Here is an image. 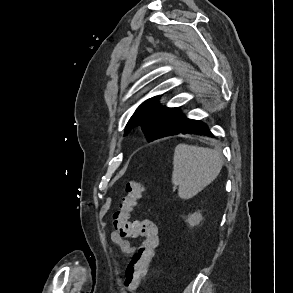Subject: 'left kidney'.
I'll list each match as a JSON object with an SVG mask.
<instances>
[{"label": "left kidney", "instance_id": "left-kidney-1", "mask_svg": "<svg viewBox=\"0 0 293 293\" xmlns=\"http://www.w3.org/2000/svg\"><path fill=\"white\" fill-rule=\"evenodd\" d=\"M202 219H203L202 214L200 213V211H197L188 216L187 222L190 227H194V226H197L202 221Z\"/></svg>", "mask_w": 293, "mask_h": 293}]
</instances>
